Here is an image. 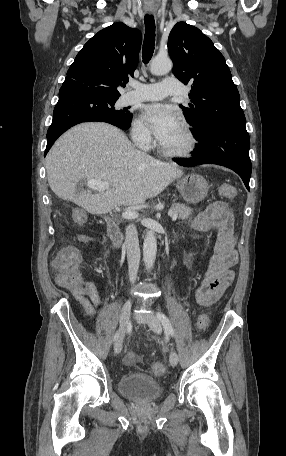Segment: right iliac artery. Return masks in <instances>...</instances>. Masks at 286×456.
I'll use <instances>...</instances> for the list:
<instances>
[{
	"label": "right iliac artery",
	"instance_id": "1",
	"mask_svg": "<svg viewBox=\"0 0 286 456\" xmlns=\"http://www.w3.org/2000/svg\"><path fill=\"white\" fill-rule=\"evenodd\" d=\"M119 337V331H117L114 335V341Z\"/></svg>",
	"mask_w": 286,
	"mask_h": 456
}]
</instances>
